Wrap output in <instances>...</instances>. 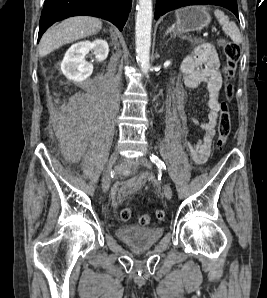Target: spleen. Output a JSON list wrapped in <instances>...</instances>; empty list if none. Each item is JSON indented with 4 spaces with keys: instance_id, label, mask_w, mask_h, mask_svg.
Wrapping results in <instances>:
<instances>
[{
    "instance_id": "obj_1",
    "label": "spleen",
    "mask_w": 267,
    "mask_h": 298,
    "mask_svg": "<svg viewBox=\"0 0 267 298\" xmlns=\"http://www.w3.org/2000/svg\"><path fill=\"white\" fill-rule=\"evenodd\" d=\"M214 15L218 19V22L222 26V30L225 34L229 36L235 44H240L242 42V36L237 25L230 21L229 17L219 9L214 11Z\"/></svg>"
}]
</instances>
